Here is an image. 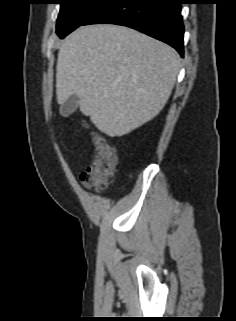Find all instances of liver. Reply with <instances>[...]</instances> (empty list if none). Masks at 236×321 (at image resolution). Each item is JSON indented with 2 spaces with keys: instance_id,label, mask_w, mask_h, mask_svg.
<instances>
[{
  "instance_id": "liver-1",
  "label": "liver",
  "mask_w": 236,
  "mask_h": 321,
  "mask_svg": "<svg viewBox=\"0 0 236 321\" xmlns=\"http://www.w3.org/2000/svg\"><path fill=\"white\" fill-rule=\"evenodd\" d=\"M179 69L175 49L134 29L82 26L59 49L57 102L76 95L80 111L97 129L122 136L158 115Z\"/></svg>"
}]
</instances>
